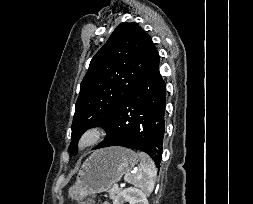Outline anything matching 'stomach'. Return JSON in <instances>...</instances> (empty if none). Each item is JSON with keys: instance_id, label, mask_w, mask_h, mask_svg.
Returning <instances> with one entry per match:
<instances>
[{"instance_id": "stomach-1", "label": "stomach", "mask_w": 253, "mask_h": 204, "mask_svg": "<svg viewBox=\"0 0 253 204\" xmlns=\"http://www.w3.org/2000/svg\"><path fill=\"white\" fill-rule=\"evenodd\" d=\"M137 154L124 147H110L95 151L81 166L76 182L69 188L72 200L102 193L120 181L136 165Z\"/></svg>"}]
</instances>
